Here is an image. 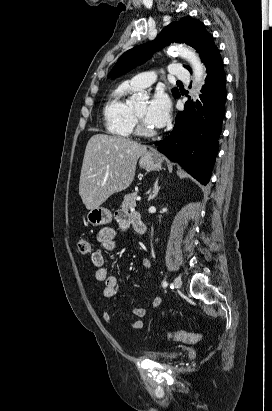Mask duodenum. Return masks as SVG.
I'll return each instance as SVG.
<instances>
[{
	"label": "duodenum",
	"instance_id": "410a0bca",
	"mask_svg": "<svg viewBox=\"0 0 272 411\" xmlns=\"http://www.w3.org/2000/svg\"><path fill=\"white\" fill-rule=\"evenodd\" d=\"M133 224H134V229L139 235H145L147 232V227L146 225L141 221L139 216H134L132 218Z\"/></svg>",
	"mask_w": 272,
	"mask_h": 411
}]
</instances>
